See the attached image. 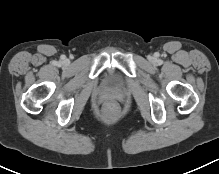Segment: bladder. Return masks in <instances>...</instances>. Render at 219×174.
Returning a JSON list of instances; mask_svg holds the SVG:
<instances>
[{
	"mask_svg": "<svg viewBox=\"0 0 219 174\" xmlns=\"http://www.w3.org/2000/svg\"><path fill=\"white\" fill-rule=\"evenodd\" d=\"M107 84L111 87H119L122 84V79L115 73H111L107 77Z\"/></svg>",
	"mask_w": 219,
	"mask_h": 174,
	"instance_id": "31cf9c89",
	"label": "bladder"
}]
</instances>
